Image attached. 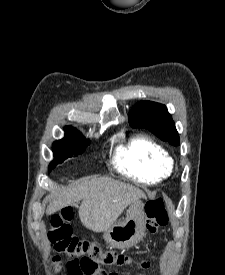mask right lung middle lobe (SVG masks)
<instances>
[{"mask_svg": "<svg viewBox=\"0 0 225 275\" xmlns=\"http://www.w3.org/2000/svg\"><path fill=\"white\" fill-rule=\"evenodd\" d=\"M90 144L77 129L65 127V138L53 143L54 160L49 165V172L66 158L83 153Z\"/></svg>", "mask_w": 225, "mask_h": 275, "instance_id": "dd1d6c3e", "label": "right lung middle lobe"}]
</instances>
